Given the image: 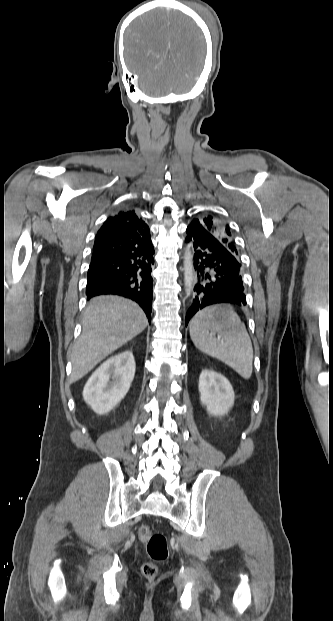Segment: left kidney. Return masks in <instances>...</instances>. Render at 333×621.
I'll return each mask as SVG.
<instances>
[{
	"instance_id": "left-kidney-1",
	"label": "left kidney",
	"mask_w": 333,
	"mask_h": 621,
	"mask_svg": "<svg viewBox=\"0 0 333 621\" xmlns=\"http://www.w3.org/2000/svg\"><path fill=\"white\" fill-rule=\"evenodd\" d=\"M198 388L201 403L207 407L209 414L223 416L233 407L235 394L223 375L213 370H202Z\"/></svg>"
}]
</instances>
